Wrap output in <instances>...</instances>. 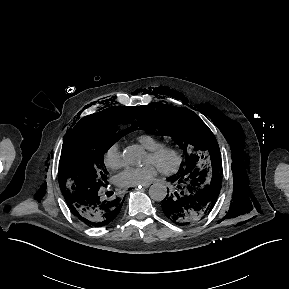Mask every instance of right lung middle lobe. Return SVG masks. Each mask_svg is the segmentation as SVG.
Masks as SVG:
<instances>
[{
    "label": "right lung middle lobe",
    "instance_id": "1",
    "mask_svg": "<svg viewBox=\"0 0 289 289\" xmlns=\"http://www.w3.org/2000/svg\"><path fill=\"white\" fill-rule=\"evenodd\" d=\"M107 124L73 129L63 145L59 184L65 200L99 190L106 181L103 155L132 127Z\"/></svg>",
    "mask_w": 289,
    "mask_h": 289
}]
</instances>
